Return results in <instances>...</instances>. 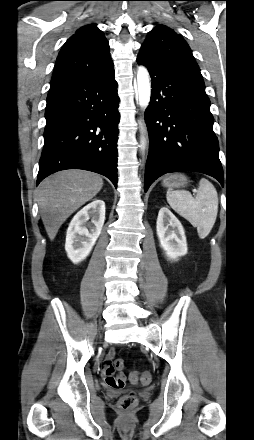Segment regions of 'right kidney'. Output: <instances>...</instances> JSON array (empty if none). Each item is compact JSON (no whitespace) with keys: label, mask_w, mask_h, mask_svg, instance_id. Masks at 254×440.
Here are the masks:
<instances>
[{"label":"right kidney","mask_w":254,"mask_h":440,"mask_svg":"<svg viewBox=\"0 0 254 440\" xmlns=\"http://www.w3.org/2000/svg\"><path fill=\"white\" fill-rule=\"evenodd\" d=\"M104 221L105 202L101 199L92 201L73 217L65 243V250L73 263L83 261L90 254L101 234Z\"/></svg>","instance_id":"ca27d5eb"}]
</instances>
